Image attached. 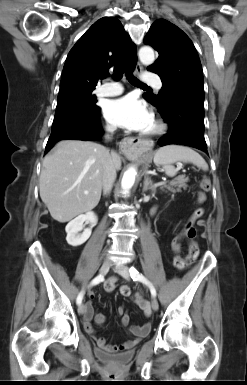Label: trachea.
<instances>
[{
  "mask_svg": "<svg viewBox=\"0 0 247 385\" xmlns=\"http://www.w3.org/2000/svg\"><path fill=\"white\" fill-rule=\"evenodd\" d=\"M122 75H123V71L122 70H119V71H116L113 75H112V78L115 80V81H119L122 79ZM126 78L127 80L132 84V85H135V86H139V87H147L149 88V86H147L146 84L140 82L132 73L130 72H127L126 73Z\"/></svg>",
  "mask_w": 247,
  "mask_h": 385,
  "instance_id": "3493384b",
  "label": "trachea"
}]
</instances>
